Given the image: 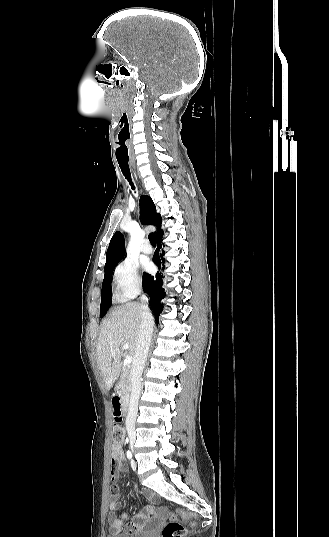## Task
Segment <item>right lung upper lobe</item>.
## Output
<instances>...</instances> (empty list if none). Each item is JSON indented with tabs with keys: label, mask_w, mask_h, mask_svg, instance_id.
Here are the masks:
<instances>
[{
	"label": "right lung upper lobe",
	"mask_w": 329,
	"mask_h": 537,
	"mask_svg": "<svg viewBox=\"0 0 329 537\" xmlns=\"http://www.w3.org/2000/svg\"><path fill=\"white\" fill-rule=\"evenodd\" d=\"M140 207L145 224L153 225L157 228L156 238L163 234L161 229L162 217L156 213V207L149 196L142 195L140 198ZM125 240L121 232H116L109 243L106 253L105 268L114 263H118L124 256Z\"/></svg>",
	"instance_id": "1"
}]
</instances>
